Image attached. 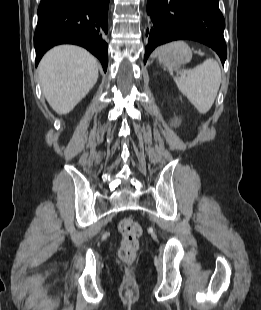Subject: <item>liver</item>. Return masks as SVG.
<instances>
[{"mask_svg": "<svg viewBox=\"0 0 261 310\" xmlns=\"http://www.w3.org/2000/svg\"><path fill=\"white\" fill-rule=\"evenodd\" d=\"M38 75L49 105L64 115L73 110L97 82L98 63L81 47L61 45L44 55Z\"/></svg>", "mask_w": 261, "mask_h": 310, "instance_id": "obj_1", "label": "liver"}]
</instances>
